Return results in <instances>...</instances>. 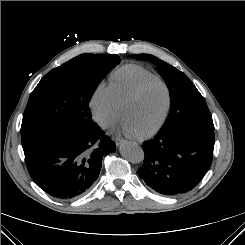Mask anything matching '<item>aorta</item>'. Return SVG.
<instances>
[{
	"label": "aorta",
	"instance_id": "762f6f07",
	"mask_svg": "<svg viewBox=\"0 0 245 245\" xmlns=\"http://www.w3.org/2000/svg\"><path fill=\"white\" fill-rule=\"evenodd\" d=\"M120 154L133 164L141 163L144 159L143 149L138 144L129 141L120 145Z\"/></svg>",
	"mask_w": 245,
	"mask_h": 245
}]
</instances>
